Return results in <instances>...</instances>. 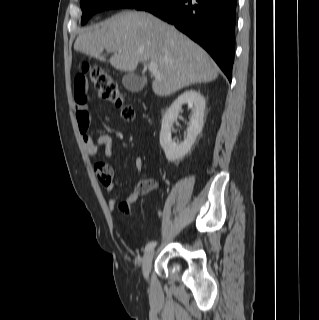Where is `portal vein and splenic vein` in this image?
Masks as SVG:
<instances>
[{"label": "portal vein and splenic vein", "mask_w": 319, "mask_h": 320, "mask_svg": "<svg viewBox=\"0 0 319 320\" xmlns=\"http://www.w3.org/2000/svg\"><path fill=\"white\" fill-rule=\"evenodd\" d=\"M148 69L149 71L154 74V76L158 79L161 78V75H160V72H159V69H158V65L157 63L155 62H149L148 64Z\"/></svg>", "instance_id": "obj_1"}]
</instances>
